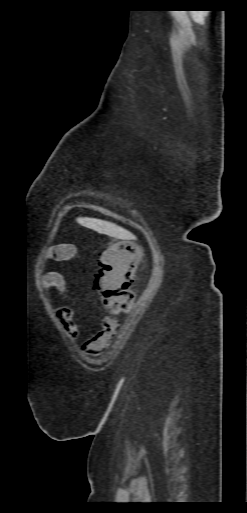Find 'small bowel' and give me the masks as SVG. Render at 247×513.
I'll list each match as a JSON object with an SVG mask.
<instances>
[{
  "label": "small bowel",
  "instance_id": "c3829d8e",
  "mask_svg": "<svg viewBox=\"0 0 247 513\" xmlns=\"http://www.w3.org/2000/svg\"><path fill=\"white\" fill-rule=\"evenodd\" d=\"M71 245L64 244L51 249L50 259L55 261H65L70 258ZM41 287L45 293L55 288L63 295H66V283L64 276L57 271L44 272L41 279ZM58 314L63 325V329L70 338L78 334V326L74 321V310L70 306L61 307ZM119 328V322L114 317H107L100 332L88 340L84 349L89 355H99L105 352L115 339Z\"/></svg>",
  "mask_w": 247,
  "mask_h": 513
}]
</instances>
